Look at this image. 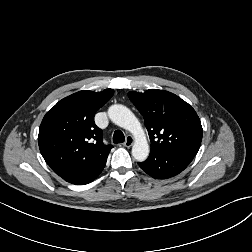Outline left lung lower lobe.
Segmentation results:
<instances>
[{
    "label": "left lung lower lobe",
    "instance_id": "obj_1",
    "mask_svg": "<svg viewBox=\"0 0 252 252\" xmlns=\"http://www.w3.org/2000/svg\"><path fill=\"white\" fill-rule=\"evenodd\" d=\"M194 157L182 153L151 154L139 166L150 176L166 179L182 172Z\"/></svg>",
    "mask_w": 252,
    "mask_h": 252
}]
</instances>
